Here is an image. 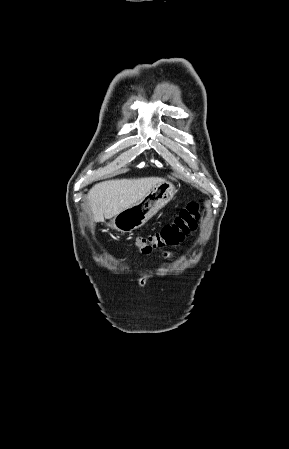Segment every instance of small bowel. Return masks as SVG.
Returning <instances> with one entry per match:
<instances>
[{"mask_svg":"<svg viewBox=\"0 0 289 449\" xmlns=\"http://www.w3.org/2000/svg\"><path fill=\"white\" fill-rule=\"evenodd\" d=\"M164 256L169 257V254L168 253H164Z\"/></svg>","mask_w":289,"mask_h":449,"instance_id":"c3829d8e","label":"small bowel"}]
</instances>
